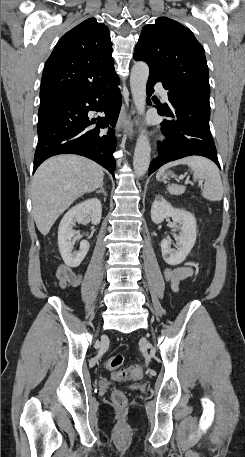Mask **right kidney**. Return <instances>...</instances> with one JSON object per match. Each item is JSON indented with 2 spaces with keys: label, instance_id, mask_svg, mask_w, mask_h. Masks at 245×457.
I'll return each mask as SVG.
<instances>
[{
  "label": "right kidney",
  "instance_id": "ca27d5eb",
  "mask_svg": "<svg viewBox=\"0 0 245 457\" xmlns=\"http://www.w3.org/2000/svg\"><path fill=\"white\" fill-rule=\"evenodd\" d=\"M102 214V204L99 198H88L84 202H79L72 206L66 214H64L58 226V245L60 251L67 253L69 257L70 267H79L83 259H85L89 251L88 241H81L79 251L72 253L73 245L72 237L78 235L77 231H73L75 222H84L91 220L93 224H99Z\"/></svg>",
  "mask_w": 245,
  "mask_h": 457
}]
</instances>
